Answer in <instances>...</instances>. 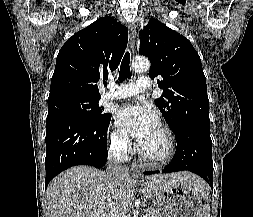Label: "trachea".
Masks as SVG:
<instances>
[{
    "label": "trachea",
    "instance_id": "trachea-1",
    "mask_svg": "<svg viewBox=\"0 0 253 217\" xmlns=\"http://www.w3.org/2000/svg\"><path fill=\"white\" fill-rule=\"evenodd\" d=\"M129 63H130V53L126 52L120 66L119 81H123L126 78H131Z\"/></svg>",
    "mask_w": 253,
    "mask_h": 217
}]
</instances>
